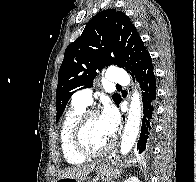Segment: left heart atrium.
<instances>
[{"mask_svg":"<svg viewBox=\"0 0 196 182\" xmlns=\"http://www.w3.org/2000/svg\"><path fill=\"white\" fill-rule=\"evenodd\" d=\"M100 120L104 131L109 137H111L117 129V125H118L117 113L112 108H107L100 116Z\"/></svg>","mask_w":196,"mask_h":182,"instance_id":"obj_1","label":"left heart atrium"}]
</instances>
